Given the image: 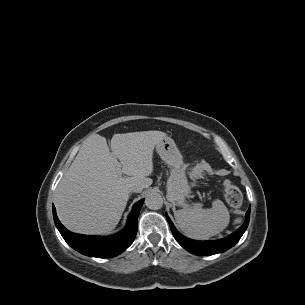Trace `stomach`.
I'll list each match as a JSON object with an SVG mask.
<instances>
[{"label": "stomach", "mask_w": 305, "mask_h": 305, "mask_svg": "<svg viewBox=\"0 0 305 305\" xmlns=\"http://www.w3.org/2000/svg\"><path fill=\"white\" fill-rule=\"evenodd\" d=\"M156 150L170 168V175L167 180L168 197L172 202L182 205L190 191L183 156L170 137H165L160 141L156 145Z\"/></svg>", "instance_id": "0dacf381"}]
</instances>
